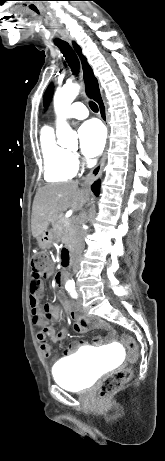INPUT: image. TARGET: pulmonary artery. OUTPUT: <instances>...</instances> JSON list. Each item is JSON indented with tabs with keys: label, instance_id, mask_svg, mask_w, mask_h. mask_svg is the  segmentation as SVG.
I'll list each match as a JSON object with an SVG mask.
<instances>
[{
	"label": "pulmonary artery",
	"instance_id": "e3ab8cb5",
	"mask_svg": "<svg viewBox=\"0 0 165 461\" xmlns=\"http://www.w3.org/2000/svg\"><path fill=\"white\" fill-rule=\"evenodd\" d=\"M88 116L86 106L81 102H75L65 111L64 118L84 119Z\"/></svg>",
	"mask_w": 165,
	"mask_h": 461
}]
</instances>
